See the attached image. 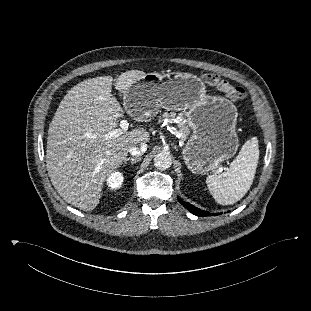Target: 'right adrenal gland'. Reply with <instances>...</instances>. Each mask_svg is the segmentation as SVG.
Here are the masks:
<instances>
[{"mask_svg":"<svg viewBox=\"0 0 311 311\" xmlns=\"http://www.w3.org/2000/svg\"><path fill=\"white\" fill-rule=\"evenodd\" d=\"M141 158L140 157H136V158H128L124 161L125 164H127L128 162H131L132 165H134L136 162H138Z\"/></svg>","mask_w":311,"mask_h":311,"instance_id":"right-adrenal-gland-1","label":"right adrenal gland"}]
</instances>
